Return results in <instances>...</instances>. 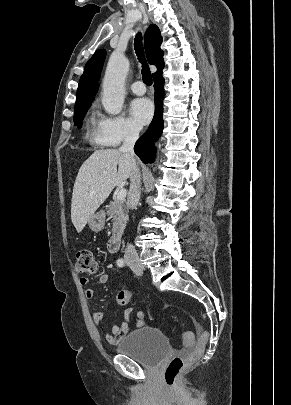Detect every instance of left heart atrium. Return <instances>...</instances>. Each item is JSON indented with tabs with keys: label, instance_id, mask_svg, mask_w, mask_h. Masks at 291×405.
<instances>
[{
	"label": "left heart atrium",
	"instance_id": "39dd6f15",
	"mask_svg": "<svg viewBox=\"0 0 291 405\" xmlns=\"http://www.w3.org/2000/svg\"><path fill=\"white\" fill-rule=\"evenodd\" d=\"M130 114L137 124L144 125L153 115V104L147 98L135 99L130 105Z\"/></svg>",
	"mask_w": 291,
	"mask_h": 405
}]
</instances>
